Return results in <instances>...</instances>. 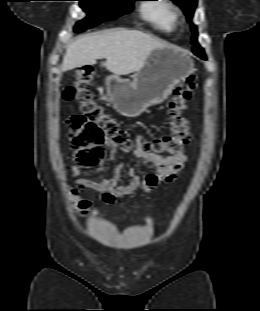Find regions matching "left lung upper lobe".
Instances as JSON below:
<instances>
[{"label": "left lung upper lobe", "mask_w": 260, "mask_h": 311, "mask_svg": "<svg viewBox=\"0 0 260 311\" xmlns=\"http://www.w3.org/2000/svg\"><path fill=\"white\" fill-rule=\"evenodd\" d=\"M174 3H176L177 5H179L184 13L187 15V19L191 20L193 13H194V9L196 7L197 4V0H173ZM193 28V52L197 53V54H201V55H205L204 54V50L199 46L198 42H197V31H196V27L192 26Z\"/></svg>", "instance_id": "left-lung-upper-lobe-1"}]
</instances>
